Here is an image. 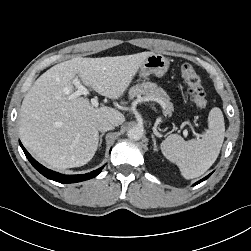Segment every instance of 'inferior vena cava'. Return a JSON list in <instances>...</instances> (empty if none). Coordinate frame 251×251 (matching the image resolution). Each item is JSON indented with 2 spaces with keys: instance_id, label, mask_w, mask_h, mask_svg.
Masks as SVG:
<instances>
[{
  "instance_id": "obj_1",
  "label": "inferior vena cava",
  "mask_w": 251,
  "mask_h": 251,
  "mask_svg": "<svg viewBox=\"0 0 251 251\" xmlns=\"http://www.w3.org/2000/svg\"><path fill=\"white\" fill-rule=\"evenodd\" d=\"M96 126H97V129L103 133V132L114 129L116 125L115 123H113L112 121L106 118H100L97 120Z\"/></svg>"
}]
</instances>
